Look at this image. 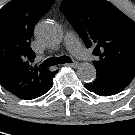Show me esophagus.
<instances>
[{
  "label": "esophagus",
  "instance_id": "34e87169",
  "mask_svg": "<svg viewBox=\"0 0 135 135\" xmlns=\"http://www.w3.org/2000/svg\"><path fill=\"white\" fill-rule=\"evenodd\" d=\"M65 66H69V67H74V68H76V67H78L79 66V64L77 63V62H74V63H68V64H64Z\"/></svg>",
  "mask_w": 135,
  "mask_h": 135
}]
</instances>
